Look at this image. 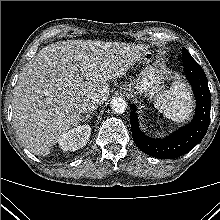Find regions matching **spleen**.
I'll use <instances>...</instances> for the list:
<instances>
[{
    "mask_svg": "<svg viewBox=\"0 0 220 220\" xmlns=\"http://www.w3.org/2000/svg\"><path fill=\"white\" fill-rule=\"evenodd\" d=\"M154 106L167 118L184 123L193 111V98L186 85L180 80L174 81L169 90L159 93Z\"/></svg>",
    "mask_w": 220,
    "mask_h": 220,
    "instance_id": "1",
    "label": "spleen"
}]
</instances>
